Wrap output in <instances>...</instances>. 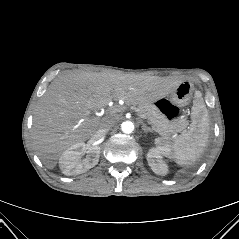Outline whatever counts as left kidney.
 I'll return each mask as SVG.
<instances>
[{
	"label": "left kidney",
	"instance_id": "5707ae66",
	"mask_svg": "<svg viewBox=\"0 0 239 239\" xmlns=\"http://www.w3.org/2000/svg\"><path fill=\"white\" fill-rule=\"evenodd\" d=\"M147 161L152 171L157 175L164 176L168 173V166L162 160V155L156 148H151L147 153Z\"/></svg>",
	"mask_w": 239,
	"mask_h": 239
}]
</instances>
